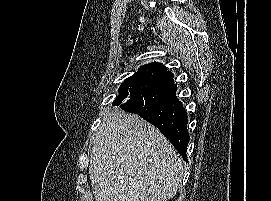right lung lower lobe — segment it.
Here are the masks:
<instances>
[{
    "label": "right lung lower lobe",
    "instance_id": "obj_1",
    "mask_svg": "<svg viewBox=\"0 0 271 201\" xmlns=\"http://www.w3.org/2000/svg\"><path fill=\"white\" fill-rule=\"evenodd\" d=\"M150 73L152 78L144 91L126 98L119 107L156 126L187 161L188 120L181 101L176 97L173 74L161 63L152 67Z\"/></svg>",
    "mask_w": 271,
    "mask_h": 201
}]
</instances>
